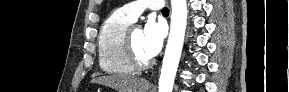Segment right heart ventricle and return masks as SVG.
Returning a JSON list of instances; mask_svg holds the SVG:
<instances>
[{
    "mask_svg": "<svg viewBox=\"0 0 289 92\" xmlns=\"http://www.w3.org/2000/svg\"><path fill=\"white\" fill-rule=\"evenodd\" d=\"M132 23L120 10L112 12L102 23L97 44L99 65L105 73L127 75L134 71L123 52L124 35Z\"/></svg>",
    "mask_w": 289,
    "mask_h": 92,
    "instance_id": "1",
    "label": "right heart ventricle"
}]
</instances>
